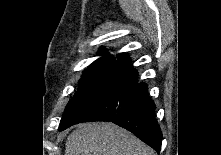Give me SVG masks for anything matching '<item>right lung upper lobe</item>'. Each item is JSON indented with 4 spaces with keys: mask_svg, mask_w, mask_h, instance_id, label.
<instances>
[{
    "mask_svg": "<svg viewBox=\"0 0 221 155\" xmlns=\"http://www.w3.org/2000/svg\"><path fill=\"white\" fill-rule=\"evenodd\" d=\"M98 54L99 55H102V54H107V52H106V48L105 47H101L100 48V51L98 52ZM106 56H108V55H106ZM120 57H127V55L126 54H120Z\"/></svg>",
    "mask_w": 221,
    "mask_h": 155,
    "instance_id": "right-lung-upper-lobe-1",
    "label": "right lung upper lobe"
}]
</instances>
